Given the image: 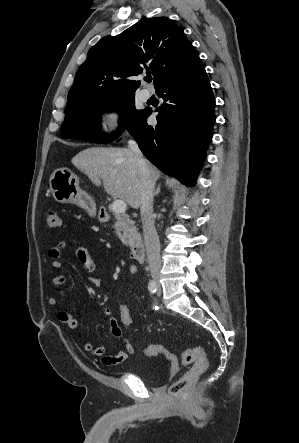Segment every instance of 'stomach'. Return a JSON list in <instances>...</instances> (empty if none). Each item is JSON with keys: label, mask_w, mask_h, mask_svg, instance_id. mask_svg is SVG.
<instances>
[{"label": "stomach", "mask_w": 299, "mask_h": 443, "mask_svg": "<svg viewBox=\"0 0 299 443\" xmlns=\"http://www.w3.org/2000/svg\"><path fill=\"white\" fill-rule=\"evenodd\" d=\"M54 199L62 204H75L91 216L96 215V205L92 197L79 187V178L67 168L56 169L49 180Z\"/></svg>", "instance_id": "stomach-1"}]
</instances>
